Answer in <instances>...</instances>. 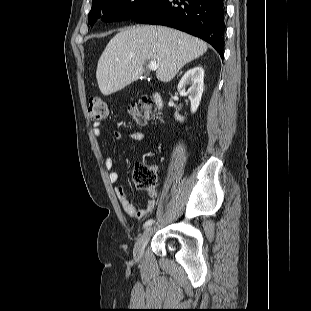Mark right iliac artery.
<instances>
[{
  "label": "right iliac artery",
  "mask_w": 311,
  "mask_h": 311,
  "mask_svg": "<svg viewBox=\"0 0 311 311\" xmlns=\"http://www.w3.org/2000/svg\"><path fill=\"white\" fill-rule=\"evenodd\" d=\"M153 219H149L148 221L145 222L144 228H148L150 225H152Z\"/></svg>",
  "instance_id": "right-iliac-artery-1"
}]
</instances>
